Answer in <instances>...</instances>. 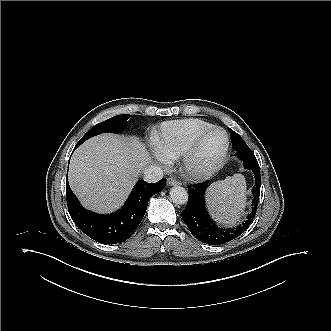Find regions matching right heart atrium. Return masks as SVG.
Returning <instances> with one entry per match:
<instances>
[{
  "mask_svg": "<svg viewBox=\"0 0 331 331\" xmlns=\"http://www.w3.org/2000/svg\"><path fill=\"white\" fill-rule=\"evenodd\" d=\"M154 157L158 162L162 163L163 165L169 164L168 157L158 148L154 149Z\"/></svg>",
  "mask_w": 331,
  "mask_h": 331,
  "instance_id": "d8ad5b80",
  "label": "right heart atrium"
}]
</instances>
